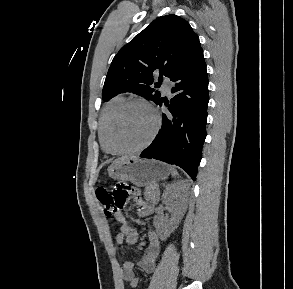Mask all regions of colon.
Listing matches in <instances>:
<instances>
[{"mask_svg": "<svg viewBox=\"0 0 293 289\" xmlns=\"http://www.w3.org/2000/svg\"><path fill=\"white\" fill-rule=\"evenodd\" d=\"M136 193L134 186L125 183H119L112 191H108L104 187L96 190V197L99 202L103 214L107 217L122 210L127 204L130 196ZM136 205L139 207V202L136 200Z\"/></svg>", "mask_w": 293, "mask_h": 289, "instance_id": "1", "label": "colon"}]
</instances>
